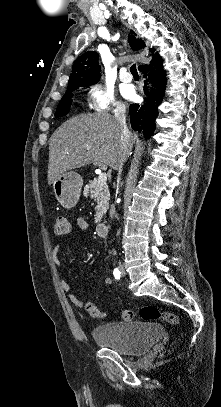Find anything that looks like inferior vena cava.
I'll use <instances>...</instances> for the list:
<instances>
[{
    "label": "inferior vena cava",
    "mask_w": 221,
    "mask_h": 407,
    "mask_svg": "<svg viewBox=\"0 0 221 407\" xmlns=\"http://www.w3.org/2000/svg\"><path fill=\"white\" fill-rule=\"evenodd\" d=\"M114 117L121 129V144L123 148L122 158L116 165L115 169L118 170V177L120 178L125 157L129 152L130 131L126 124V107L123 104H118L114 110Z\"/></svg>",
    "instance_id": "602c4592"
}]
</instances>
